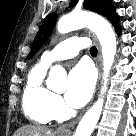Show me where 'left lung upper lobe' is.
I'll return each mask as SVG.
<instances>
[{"label": "left lung upper lobe", "mask_w": 136, "mask_h": 136, "mask_svg": "<svg viewBox=\"0 0 136 136\" xmlns=\"http://www.w3.org/2000/svg\"><path fill=\"white\" fill-rule=\"evenodd\" d=\"M76 3L77 0H72L70 6L73 7L76 5ZM83 7L107 17V19L113 24L114 27L119 24V19L115 13L114 6L111 0H84ZM56 19V13H51L46 17L35 37L31 52L29 54V58H31L39 50L46 39L50 36L54 28Z\"/></svg>", "instance_id": "1"}]
</instances>
